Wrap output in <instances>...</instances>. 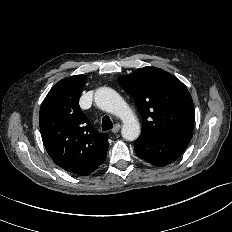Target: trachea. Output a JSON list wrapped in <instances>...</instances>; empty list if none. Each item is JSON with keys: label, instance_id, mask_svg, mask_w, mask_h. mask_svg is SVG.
I'll return each instance as SVG.
<instances>
[{"label": "trachea", "instance_id": "obj_1", "mask_svg": "<svg viewBox=\"0 0 232 232\" xmlns=\"http://www.w3.org/2000/svg\"><path fill=\"white\" fill-rule=\"evenodd\" d=\"M113 127V123L110 119L109 116H104L102 118V130L106 131V130H110Z\"/></svg>", "mask_w": 232, "mask_h": 232}]
</instances>
